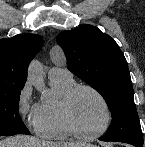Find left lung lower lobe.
Listing matches in <instances>:
<instances>
[{
	"label": "left lung lower lobe",
	"instance_id": "left-lung-lower-lobe-1",
	"mask_svg": "<svg viewBox=\"0 0 145 147\" xmlns=\"http://www.w3.org/2000/svg\"><path fill=\"white\" fill-rule=\"evenodd\" d=\"M100 140L101 141H111V140H106L104 137H101ZM126 143L134 145L135 147H143V143H134V142H126Z\"/></svg>",
	"mask_w": 145,
	"mask_h": 147
}]
</instances>
